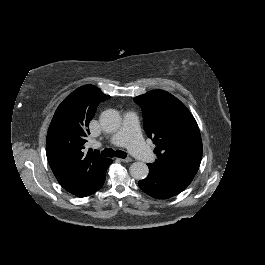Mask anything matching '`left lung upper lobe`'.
Returning <instances> with one entry per match:
<instances>
[{
  "label": "left lung upper lobe",
  "instance_id": "obj_1",
  "mask_svg": "<svg viewBox=\"0 0 265 265\" xmlns=\"http://www.w3.org/2000/svg\"><path fill=\"white\" fill-rule=\"evenodd\" d=\"M143 112L144 130L157 145L155 170L195 176L202 158L198 125L176 97L163 90L149 91L134 98Z\"/></svg>",
  "mask_w": 265,
  "mask_h": 265
}]
</instances>
